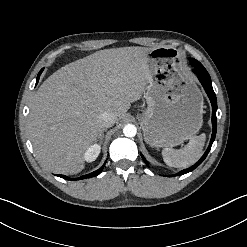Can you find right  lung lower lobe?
Instances as JSON below:
<instances>
[{
	"instance_id": "98d812e1",
	"label": "right lung lower lobe",
	"mask_w": 247,
	"mask_h": 247,
	"mask_svg": "<svg viewBox=\"0 0 247 247\" xmlns=\"http://www.w3.org/2000/svg\"><path fill=\"white\" fill-rule=\"evenodd\" d=\"M42 71H43V69L39 72V74L37 76V82H36V84L38 83V80H39V77H40V74L42 73ZM105 163L102 165V167L100 169H98V170H96V171H94V172H92L90 174L83 175V176H81L79 178L71 179V178H69L67 176H64V175H57V176H59V177H61L63 179H66V180H81V179L91 178V177L97 176L98 174H100L102 172V170H103V168L105 166Z\"/></svg>"
}]
</instances>
